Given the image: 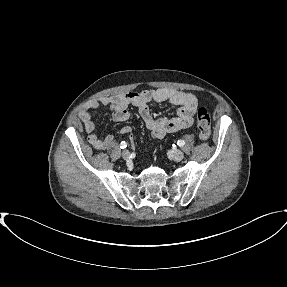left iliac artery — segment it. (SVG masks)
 Returning a JSON list of instances; mask_svg holds the SVG:
<instances>
[{"instance_id":"44dca946","label":"left iliac artery","mask_w":287,"mask_h":287,"mask_svg":"<svg viewBox=\"0 0 287 287\" xmlns=\"http://www.w3.org/2000/svg\"><path fill=\"white\" fill-rule=\"evenodd\" d=\"M177 144L182 147L184 146L185 142L183 140H178Z\"/></svg>"}]
</instances>
